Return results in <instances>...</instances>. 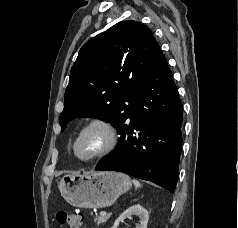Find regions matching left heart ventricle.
<instances>
[{
  "mask_svg": "<svg viewBox=\"0 0 238 228\" xmlns=\"http://www.w3.org/2000/svg\"><path fill=\"white\" fill-rule=\"evenodd\" d=\"M104 143V134L100 130H93L82 137L77 145L80 157H89L97 152Z\"/></svg>",
  "mask_w": 238,
  "mask_h": 228,
  "instance_id": "b2bd125f",
  "label": "left heart ventricle"
}]
</instances>
